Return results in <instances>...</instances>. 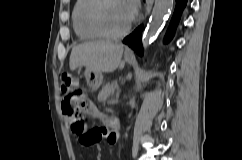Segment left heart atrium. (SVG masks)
I'll return each mask as SVG.
<instances>
[{
  "label": "left heart atrium",
  "mask_w": 242,
  "mask_h": 160,
  "mask_svg": "<svg viewBox=\"0 0 242 160\" xmlns=\"http://www.w3.org/2000/svg\"><path fill=\"white\" fill-rule=\"evenodd\" d=\"M124 2L128 8L131 18L133 19L138 12L139 1L138 0H124Z\"/></svg>",
  "instance_id": "1"
}]
</instances>
